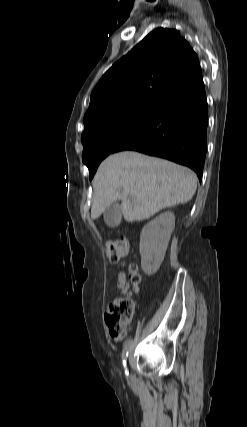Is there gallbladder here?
Returning a JSON list of instances; mask_svg holds the SVG:
<instances>
[{"instance_id": "bac80fb5", "label": "gallbladder", "mask_w": 247, "mask_h": 427, "mask_svg": "<svg viewBox=\"0 0 247 427\" xmlns=\"http://www.w3.org/2000/svg\"><path fill=\"white\" fill-rule=\"evenodd\" d=\"M122 218L121 206L118 202H113L104 211V221L107 226L116 227L120 224Z\"/></svg>"}]
</instances>
